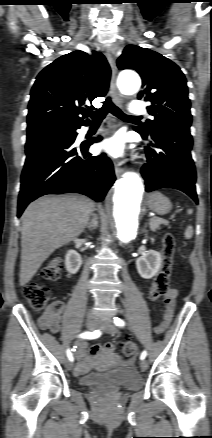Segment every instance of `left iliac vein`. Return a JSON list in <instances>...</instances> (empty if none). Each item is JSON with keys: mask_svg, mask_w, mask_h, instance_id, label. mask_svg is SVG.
Masks as SVG:
<instances>
[{"mask_svg": "<svg viewBox=\"0 0 212 438\" xmlns=\"http://www.w3.org/2000/svg\"><path fill=\"white\" fill-rule=\"evenodd\" d=\"M98 327L111 335H115L118 332L116 326L109 319L99 321ZM140 368L142 371H145L148 368V362L146 360H142L140 362Z\"/></svg>", "mask_w": 212, "mask_h": 438, "instance_id": "left-iliac-vein-1", "label": "left iliac vein"}]
</instances>
